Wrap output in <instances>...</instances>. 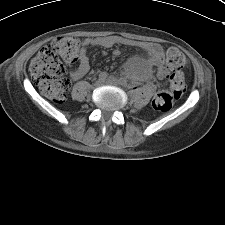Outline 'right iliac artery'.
<instances>
[{"mask_svg":"<svg viewBox=\"0 0 225 225\" xmlns=\"http://www.w3.org/2000/svg\"><path fill=\"white\" fill-rule=\"evenodd\" d=\"M108 77V73L107 72H101L99 74V79L101 80H105Z\"/></svg>","mask_w":225,"mask_h":225,"instance_id":"1","label":"right iliac artery"}]
</instances>
